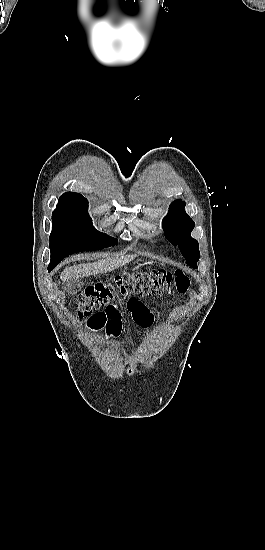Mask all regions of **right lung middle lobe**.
<instances>
[{"instance_id": "1", "label": "right lung middle lobe", "mask_w": 265, "mask_h": 550, "mask_svg": "<svg viewBox=\"0 0 265 550\" xmlns=\"http://www.w3.org/2000/svg\"><path fill=\"white\" fill-rule=\"evenodd\" d=\"M87 207V199L57 205L52 215L49 267H55L75 252L94 251L117 244L116 239L94 229Z\"/></svg>"}]
</instances>
